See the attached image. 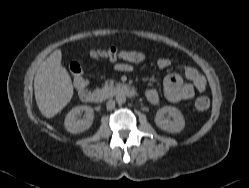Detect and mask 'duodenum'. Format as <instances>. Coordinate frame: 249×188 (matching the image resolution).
Instances as JSON below:
<instances>
[{"label":"duodenum","instance_id":"obj_1","mask_svg":"<svg viewBox=\"0 0 249 188\" xmlns=\"http://www.w3.org/2000/svg\"><path fill=\"white\" fill-rule=\"evenodd\" d=\"M112 95L133 97L135 95V90L129 85L118 84L111 88L96 89L90 92L87 91L85 99L90 103H101Z\"/></svg>","mask_w":249,"mask_h":188}]
</instances>
